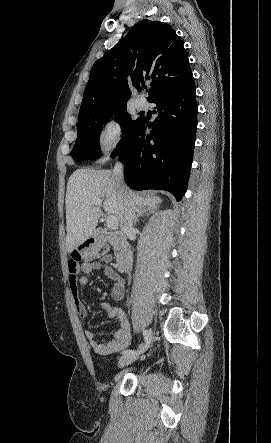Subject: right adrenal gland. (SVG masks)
Wrapping results in <instances>:
<instances>
[{"label": "right adrenal gland", "mask_w": 271, "mask_h": 443, "mask_svg": "<svg viewBox=\"0 0 271 443\" xmlns=\"http://www.w3.org/2000/svg\"><path fill=\"white\" fill-rule=\"evenodd\" d=\"M137 214L134 218V225L138 222L139 218H144V216H150V214H154L156 212L155 208H149V206H141V208H137Z\"/></svg>", "instance_id": "right-adrenal-gland-1"}]
</instances>
